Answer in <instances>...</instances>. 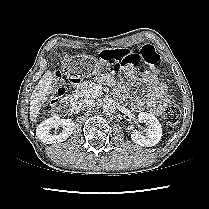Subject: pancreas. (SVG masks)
Here are the masks:
<instances>
[{"instance_id": "1", "label": "pancreas", "mask_w": 209, "mask_h": 209, "mask_svg": "<svg viewBox=\"0 0 209 209\" xmlns=\"http://www.w3.org/2000/svg\"><path fill=\"white\" fill-rule=\"evenodd\" d=\"M95 87L96 84L94 82H86L82 85V88L80 90L76 91V94L81 98H98L102 95V92L96 90Z\"/></svg>"}]
</instances>
